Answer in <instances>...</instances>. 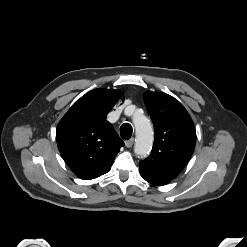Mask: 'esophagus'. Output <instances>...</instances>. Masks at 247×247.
<instances>
[{"label": "esophagus", "instance_id": "1", "mask_svg": "<svg viewBox=\"0 0 247 247\" xmlns=\"http://www.w3.org/2000/svg\"><path fill=\"white\" fill-rule=\"evenodd\" d=\"M133 144H134V138H131V139L125 141V146L127 148H131Z\"/></svg>", "mask_w": 247, "mask_h": 247}]
</instances>
